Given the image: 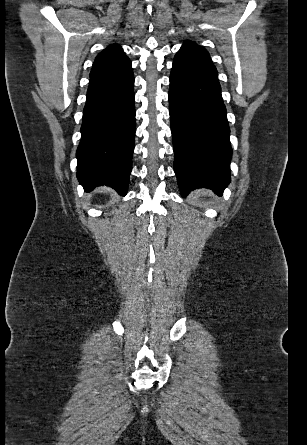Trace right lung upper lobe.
Masks as SVG:
<instances>
[{
    "mask_svg": "<svg viewBox=\"0 0 307 445\" xmlns=\"http://www.w3.org/2000/svg\"><path fill=\"white\" fill-rule=\"evenodd\" d=\"M130 62L119 45H110L97 55L90 78L114 72Z\"/></svg>",
    "mask_w": 307,
    "mask_h": 445,
    "instance_id": "obj_1",
    "label": "right lung upper lobe"
}]
</instances>
